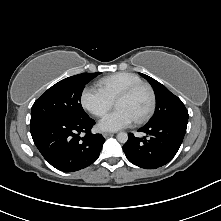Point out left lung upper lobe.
Wrapping results in <instances>:
<instances>
[{"label": "left lung upper lobe", "mask_w": 221, "mask_h": 221, "mask_svg": "<svg viewBox=\"0 0 221 221\" xmlns=\"http://www.w3.org/2000/svg\"><path fill=\"white\" fill-rule=\"evenodd\" d=\"M153 87L156 96V110L147 124H156L168 119H188V111L182 101L155 79L140 73Z\"/></svg>", "instance_id": "1"}]
</instances>
